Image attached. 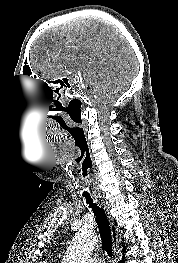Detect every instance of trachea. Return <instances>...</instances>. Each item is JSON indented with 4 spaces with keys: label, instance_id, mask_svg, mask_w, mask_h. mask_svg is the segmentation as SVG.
Listing matches in <instances>:
<instances>
[{
    "label": "trachea",
    "instance_id": "3493384b",
    "mask_svg": "<svg viewBox=\"0 0 178 263\" xmlns=\"http://www.w3.org/2000/svg\"><path fill=\"white\" fill-rule=\"evenodd\" d=\"M88 166H82L81 168V175H80V191L82 192L83 198L86 200V203L92 209L96 223L99 228L101 241H102V248L104 251L107 252V255L112 258L113 256V241H112V234L111 228L108 221V217L105 211L97 206L96 203H93V199L91 198V187L88 182V173H89Z\"/></svg>",
    "mask_w": 178,
    "mask_h": 263
}]
</instances>
